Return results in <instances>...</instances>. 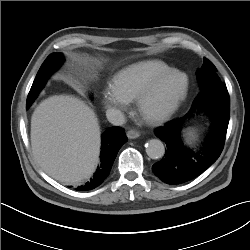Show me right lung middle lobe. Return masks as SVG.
I'll return each mask as SVG.
<instances>
[{"label":"right lung middle lobe","mask_w":250,"mask_h":250,"mask_svg":"<svg viewBox=\"0 0 250 250\" xmlns=\"http://www.w3.org/2000/svg\"><path fill=\"white\" fill-rule=\"evenodd\" d=\"M63 63V56L61 53L51 54L42 64L39 69L37 76L33 82L30 92L27 97L26 107L28 108L32 102L35 100L40 90L45 85L49 76L57 70Z\"/></svg>","instance_id":"dd1d6c3e"}]
</instances>
